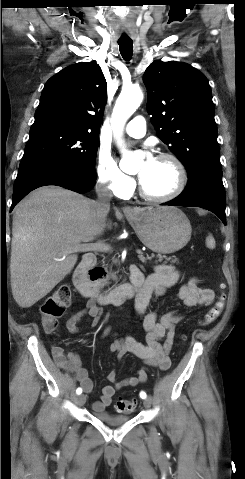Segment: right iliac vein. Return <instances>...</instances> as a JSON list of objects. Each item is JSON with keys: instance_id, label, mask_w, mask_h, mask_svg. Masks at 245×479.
<instances>
[{"instance_id": "right-iliac-vein-1", "label": "right iliac vein", "mask_w": 245, "mask_h": 479, "mask_svg": "<svg viewBox=\"0 0 245 479\" xmlns=\"http://www.w3.org/2000/svg\"><path fill=\"white\" fill-rule=\"evenodd\" d=\"M76 399H77V404L80 406L83 405L86 401V397L83 394L78 396Z\"/></svg>"}]
</instances>
